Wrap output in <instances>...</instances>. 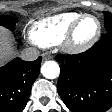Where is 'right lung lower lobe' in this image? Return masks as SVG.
<instances>
[{"mask_svg":"<svg viewBox=\"0 0 112 112\" xmlns=\"http://www.w3.org/2000/svg\"><path fill=\"white\" fill-rule=\"evenodd\" d=\"M20 42V41H19ZM41 57L32 62L15 58L0 67V112H22L40 71Z\"/></svg>","mask_w":112,"mask_h":112,"instance_id":"obj_1","label":"right lung lower lobe"}]
</instances>
